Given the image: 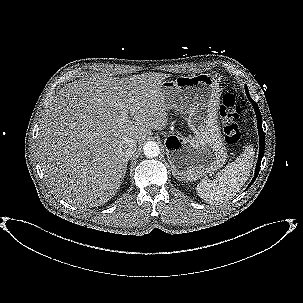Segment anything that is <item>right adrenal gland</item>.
<instances>
[{
  "mask_svg": "<svg viewBox=\"0 0 303 303\" xmlns=\"http://www.w3.org/2000/svg\"><path fill=\"white\" fill-rule=\"evenodd\" d=\"M129 158L126 159V168H127V162H128Z\"/></svg>",
  "mask_w": 303,
  "mask_h": 303,
  "instance_id": "right-adrenal-gland-1",
  "label": "right adrenal gland"
}]
</instances>
